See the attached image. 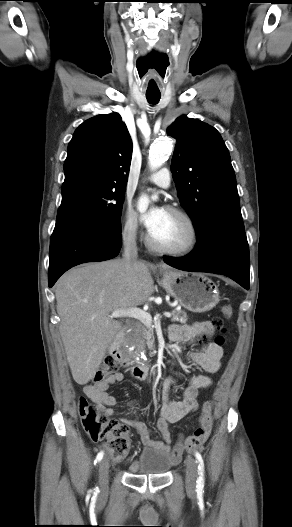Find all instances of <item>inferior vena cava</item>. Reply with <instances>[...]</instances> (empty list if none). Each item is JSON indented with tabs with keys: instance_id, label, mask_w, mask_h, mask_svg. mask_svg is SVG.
Wrapping results in <instances>:
<instances>
[{
	"instance_id": "inferior-vena-cava-1",
	"label": "inferior vena cava",
	"mask_w": 292,
	"mask_h": 527,
	"mask_svg": "<svg viewBox=\"0 0 292 527\" xmlns=\"http://www.w3.org/2000/svg\"><path fill=\"white\" fill-rule=\"evenodd\" d=\"M136 230L130 229L123 234V259L129 267L132 260L137 259Z\"/></svg>"
}]
</instances>
